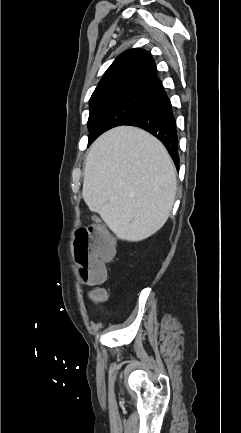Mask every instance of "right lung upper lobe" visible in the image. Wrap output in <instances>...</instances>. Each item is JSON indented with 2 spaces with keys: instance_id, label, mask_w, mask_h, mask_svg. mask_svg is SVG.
<instances>
[{
  "instance_id": "obj_1",
  "label": "right lung upper lobe",
  "mask_w": 241,
  "mask_h": 433,
  "mask_svg": "<svg viewBox=\"0 0 241 433\" xmlns=\"http://www.w3.org/2000/svg\"><path fill=\"white\" fill-rule=\"evenodd\" d=\"M162 83L156 65L144 49H130L119 55L107 69L90 102L120 94L153 95Z\"/></svg>"
}]
</instances>
